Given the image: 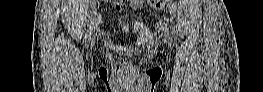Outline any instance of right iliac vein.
Listing matches in <instances>:
<instances>
[{
	"mask_svg": "<svg viewBox=\"0 0 263 92\" xmlns=\"http://www.w3.org/2000/svg\"><path fill=\"white\" fill-rule=\"evenodd\" d=\"M91 42V45L94 43V41H95V34L93 35V37L91 38V40H90Z\"/></svg>",
	"mask_w": 263,
	"mask_h": 92,
	"instance_id": "obj_1",
	"label": "right iliac vein"
}]
</instances>
